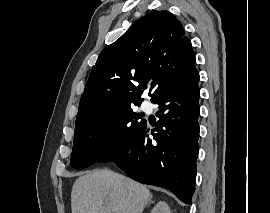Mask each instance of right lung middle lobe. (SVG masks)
<instances>
[{"instance_id": "right-lung-middle-lobe-1", "label": "right lung middle lobe", "mask_w": 270, "mask_h": 213, "mask_svg": "<svg viewBox=\"0 0 270 213\" xmlns=\"http://www.w3.org/2000/svg\"><path fill=\"white\" fill-rule=\"evenodd\" d=\"M140 118L129 104L75 123L71 165L83 169L100 162L142 126L145 120Z\"/></svg>"}]
</instances>
